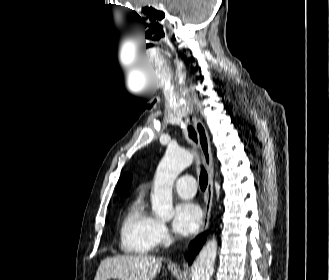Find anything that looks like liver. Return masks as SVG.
<instances>
[{
	"mask_svg": "<svg viewBox=\"0 0 329 280\" xmlns=\"http://www.w3.org/2000/svg\"><path fill=\"white\" fill-rule=\"evenodd\" d=\"M162 259L148 255H119L101 261L94 280H153Z\"/></svg>",
	"mask_w": 329,
	"mask_h": 280,
	"instance_id": "obj_1",
	"label": "liver"
}]
</instances>
